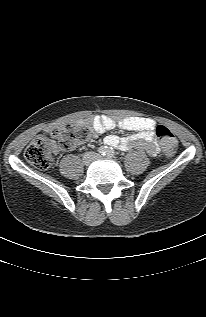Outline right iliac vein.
Here are the masks:
<instances>
[{
	"label": "right iliac vein",
	"mask_w": 206,
	"mask_h": 317,
	"mask_svg": "<svg viewBox=\"0 0 206 317\" xmlns=\"http://www.w3.org/2000/svg\"><path fill=\"white\" fill-rule=\"evenodd\" d=\"M93 160V156L92 155H87V157L85 158L84 162L86 165L90 164Z\"/></svg>",
	"instance_id": "right-iliac-vein-1"
}]
</instances>
